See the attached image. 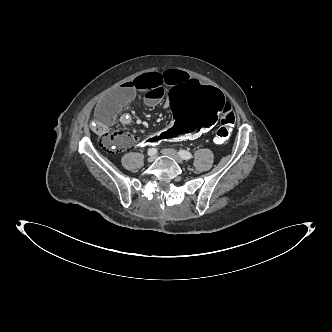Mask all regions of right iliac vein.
Masks as SVG:
<instances>
[{"label":"right iliac vein","mask_w":332,"mask_h":332,"mask_svg":"<svg viewBox=\"0 0 332 332\" xmlns=\"http://www.w3.org/2000/svg\"><path fill=\"white\" fill-rule=\"evenodd\" d=\"M155 159H156V156L155 155H151V156H149V158H148V162H154L155 161Z\"/></svg>","instance_id":"63e3f726"}]
</instances>
